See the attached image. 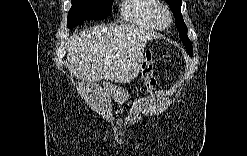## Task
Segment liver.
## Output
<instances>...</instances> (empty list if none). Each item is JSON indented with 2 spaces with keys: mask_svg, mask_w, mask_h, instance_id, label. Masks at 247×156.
Listing matches in <instances>:
<instances>
[{
  "mask_svg": "<svg viewBox=\"0 0 247 156\" xmlns=\"http://www.w3.org/2000/svg\"><path fill=\"white\" fill-rule=\"evenodd\" d=\"M158 38L130 24L100 25L74 34L68 43L70 70L80 79H106L126 83L135 79L142 66L147 41Z\"/></svg>",
  "mask_w": 247,
  "mask_h": 156,
  "instance_id": "6515ba94",
  "label": "liver"
}]
</instances>
